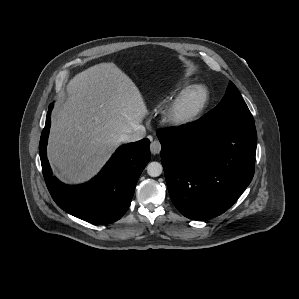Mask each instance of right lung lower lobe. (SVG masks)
<instances>
[{"mask_svg":"<svg viewBox=\"0 0 299 299\" xmlns=\"http://www.w3.org/2000/svg\"><path fill=\"white\" fill-rule=\"evenodd\" d=\"M52 108L53 103L41 134L39 154L53 200L67 213L90 223L117 221L129 208L139 176L150 160V141L145 138L119 147L91 181L77 186L65 185L52 175L46 155Z\"/></svg>","mask_w":299,"mask_h":299,"instance_id":"obj_1","label":"right lung lower lobe"}]
</instances>
